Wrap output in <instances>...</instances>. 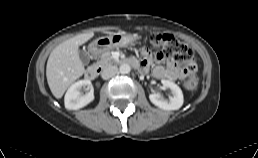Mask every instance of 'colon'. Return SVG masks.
Here are the masks:
<instances>
[{"label":"colon","instance_id":"colon-1","mask_svg":"<svg viewBox=\"0 0 258 158\" xmlns=\"http://www.w3.org/2000/svg\"><path fill=\"white\" fill-rule=\"evenodd\" d=\"M144 39L156 52H167L171 54L179 65H191L195 61L193 50L185 43L174 39L170 35L149 34ZM182 85L187 91H196L199 85V79L193 72L188 73L182 78Z\"/></svg>","mask_w":258,"mask_h":158}]
</instances>
